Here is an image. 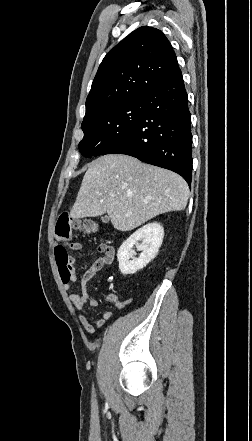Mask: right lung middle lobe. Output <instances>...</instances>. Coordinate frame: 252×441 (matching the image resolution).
Wrapping results in <instances>:
<instances>
[{
	"mask_svg": "<svg viewBox=\"0 0 252 441\" xmlns=\"http://www.w3.org/2000/svg\"><path fill=\"white\" fill-rule=\"evenodd\" d=\"M143 112L141 99L102 110L82 122L84 137L79 150L85 157L98 156L126 136Z\"/></svg>",
	"mask_w": 252,
	"mask_h": 441,
	"instance_id": "right-lung-middle-lobe-1",
	"label": "right lung middle lobe"
}]
</instances>
